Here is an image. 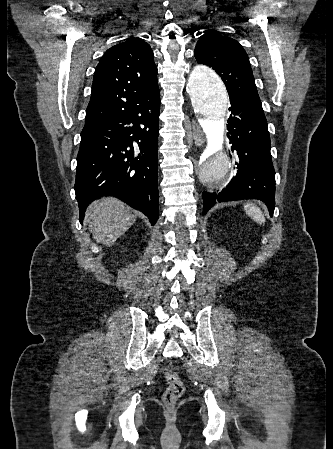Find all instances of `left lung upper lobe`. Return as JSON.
Masks as SVG:
<instances>
[{
  "mask_svg": "<svg viewBox=\"0 0 333 449\" xmlns=\"http://www.w3.org/2000/svg\"><path fill=\"white\" fill-rule=\"evenodd\" d=\"M198 63L212 67L226 85L229 97L262 109L248 55L238 41L214 30L203 31L194 52Z\"/></svg>",
  "mask_w": 333,
  "mask_h": 449,
  "instance_id": "5c2ea615",
  "label": "left lung upper lobe"
}]
</instances>
